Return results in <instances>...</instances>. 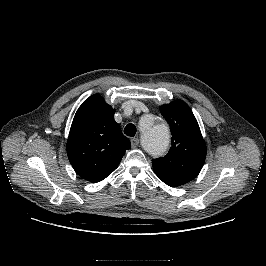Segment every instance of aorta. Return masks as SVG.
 <instances>
[{"mask_svg":"<svg viewBox=\"0 0 266 266\" xmlns=\"http://www.w3.org/2000/svg\"><path fill=\"white\" fill-rule=\"evenodd\" d=\"M143 121L148 123L142 129L141 143L143 148L149 154L155 156L163 154L170 143L168 127L163 123H159L152 115L145 116Z\"/></svg>","mask_w":266,"mask_h":266,"instance_id":"762f6f07","label":"aorta"}]
</instances>
